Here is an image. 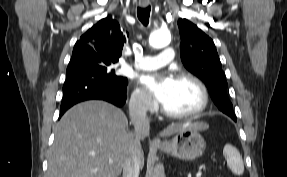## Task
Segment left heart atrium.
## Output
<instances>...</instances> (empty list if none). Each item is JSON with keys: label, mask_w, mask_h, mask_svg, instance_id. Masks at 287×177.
Wrapping results in <instances>:
<instances>
[{"label": "left heart atrium", "mask_w": 287, "mask_h": 177, "mask_svg": "<svg viewBox=\"0 0 287 177\" xmlns=\"http://www.w3.org/2000/svg\"><path fill=\"white\" fill-rule=\"evenodd\" d=\"M142 83L149 93L161 104L166 100L175 79L170 76H144Z\"/></svg>", "instance_id": "39dd6f15"}]
</instances>
